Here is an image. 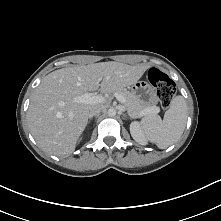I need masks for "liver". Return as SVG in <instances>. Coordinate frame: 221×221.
I'll return each instance as SVG.
<instances>
[{"mask_svg":"<svg viewBox=\"0 0 221 221\" xmlns=\"http://www.w3.org/2000/svg\"><path fill=\"white\" fill-rule=\"evenodd\" d=\"M147 69L143 65L100 62L51 72L35 89L27 112L34 139L45 152L68 157L87 125L89 112L102 107L101 103H81L76 98L99 87L107 93L130 86Z\"/></svg>","mask_w":221,"mask_h":221,"instance_id":"1","label":"liver"}]
</instances>
